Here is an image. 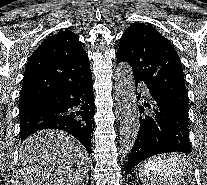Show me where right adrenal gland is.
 I'll list each match as a JSON object with an SVG mask.
<instances>
[{"instance_id": "right-adrenal-gland-1", "label": "right adrenal gland", "mask_w": 207, "mask_h": 185, "mask_svg": "<svg viewBox=\"0 0 207 185\" xmlns=\"http://www.w3.org/2000/svg\"><path fill=\"white\" fill-rule=\"evenodd\" d=\"M82 185H87V179H84Z\"/></svg>"}]
</instances>
